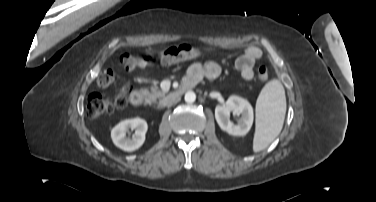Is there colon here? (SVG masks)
<instances>
[{
  "mask_svg": "<svg viewBox=\"0 0 376 202\" xmlns=\"http://www.w3.org/2000/svg\"><path fill=\"white\" fill-rule=\"evenodd\" d=\"M201 56L200 49L192 44H180L161 51L158 55L134 56L124 54L120 57L121 66L127 71H133L140 67L151 66L154 63L171 65L179 61L195 59ZM258 78L265 82L269 79V70L261 65L258 68ZM114 81V72L111 69L103 70L97 79L98 86L101 88L109 87ZM130 92L128 85H122L112 99L103 97L100 94L93 93L88 97L86 113L90 118H96L103 114L123 108L127 105V97Z\"/></svg>",
  "mask_w": 376,
  "mask_h": 202,
  "instance_id": "1",
  "label": "colon"
}]
</instances>
